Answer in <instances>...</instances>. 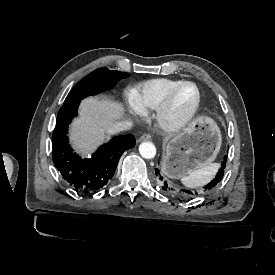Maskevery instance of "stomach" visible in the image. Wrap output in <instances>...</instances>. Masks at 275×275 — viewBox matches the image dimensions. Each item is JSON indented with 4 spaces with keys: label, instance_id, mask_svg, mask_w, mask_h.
<instances>
[{
    "label": "stomach",
    "instance_id": "obj_1",
    "mask_svg": "<svg viewBox=\"0 0 275 275\" xmlns=\"http://www.w3.org/2000/svg\"><path fill=\"white\" fill-rule=\"evenodd\" d=\"M221 146V134L210 119L201 117L165 143L163 173L179 179L212 163Z\"/></svg>",
    "mask_w": 275,
    "mask_h": 275
}]
</instances>
